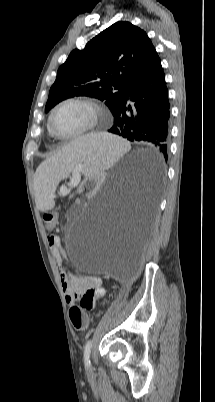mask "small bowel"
I'll list each match as a JSON object with an SVG mask.
<instances>
[{"mask_svg":"<svg viewBox=\"0 0 215 402\" xmlns=\"http://www.w3.org/2000/svg\"><path fill=\"white\" fill-rule=\"evenodd\" d=\"M54 259L58 266V272L61 278L63 290L65 292L66 301L73 304L89 291L92 292L93 304L96 300L102 298L106 294V290L102 286V280L98 277H82L74 274L66 275L61 268V262L65 255L61 239L57 234H49L47 237Z\"/></svg>","mask_w":215,"mask_h":402,"instance_id":"1","label":"small bowel"}]
</instances>
